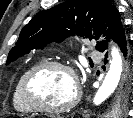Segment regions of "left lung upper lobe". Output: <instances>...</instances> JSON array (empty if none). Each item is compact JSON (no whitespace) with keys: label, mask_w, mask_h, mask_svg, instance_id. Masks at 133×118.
<instances>
[{"label":"left lung upper lobe","mask_w":133,"mask_h":118,"mask_svg":"<svg viewBox=\"0 0 133 118\" xmlns=\"http://www.w3.org/2000/svg\"><path fill=\"white\" fill-rule=\"evenodd\" d=\"M121 18L110 0H68L51 9L36 14L21 30L18 41L8 54L7 64L31 49L44 47L47 43L62 42L77 34L95 38L104 34L111 38L121 25ZM106 42H98L96 49L102 51ZM130 97L129 88H119L109 103V116H121L126 112Z\"/></svg>","instance_id":"1"}]
</instances>
